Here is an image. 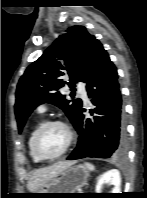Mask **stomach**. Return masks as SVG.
<instances>
[{"label":"stomach","instance_id":"1","mask_svg":"<svg viewBox=\"0 0 147 198\" xmlns=\"http://www.w3.org/2000/svg\"><path fill=\"white\" fill-rule=\"evenodd\" d=\"M89 169L85 165L70 166L55 177L47 181L34 193V198H59L63 194L49 193H75L76 190L87 184Z\"/></svg>","mask_w":147,"mask_h":198}]
</instances>
